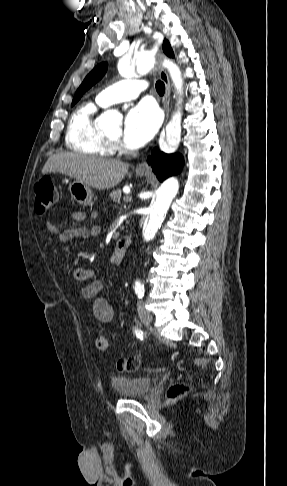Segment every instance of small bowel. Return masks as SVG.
I'll list each match as a JSON object with an SVG mask.
<instances>
[{"label":"small bowel","mask_w":287,"mask_h":486,"mask_svg":"<svg viewBox=\"0 0 287 486\" xmlns=\"http://www.w3.org/2000/svg\"><path fill=\"white\" fill-rule=\"evenodd\" d=\"M98 217L97 212H92L87 216L84 212L75 211L71 213V218L76 222L88 221L91 224L88 226L62 228L54 224L52 221L45 222L46 229L57 237V242L60 248L68 252L71 248V242L74 239H90L96 237L100 233V227L92 222ZM123 257H118L114 253L110 258L113 265H119ZM73 278L78 281H89L80 292L83 299L93 300V312L96 319L102 323H108L113 319L114 310L109 301L100 296L102 284L98 280H93L95 271L91 268L78 267L72 272Z\"/></svg>","instance_id":"c3829d8e"}]
</instances>
